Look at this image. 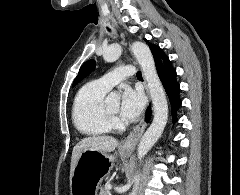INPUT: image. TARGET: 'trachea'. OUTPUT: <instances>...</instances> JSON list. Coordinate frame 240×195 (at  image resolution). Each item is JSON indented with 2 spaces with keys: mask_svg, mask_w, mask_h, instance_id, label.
<instances>
[{
  "mask_svg": "<svg viewBox=\"0 0 240 195\" xmlns=\"http://www.w3.org/2000/svg\"><path fill=\"white\" fill-rule=\"evenodd\" d=\"M136 76H137V78L142 79V74L140 71L137 72Z\"/></svg>",
  "mask_w": 240,
  "mask_h": 195,
  "instance_id": "obj_1",
  "label": "trachea"
}]
</instances>
